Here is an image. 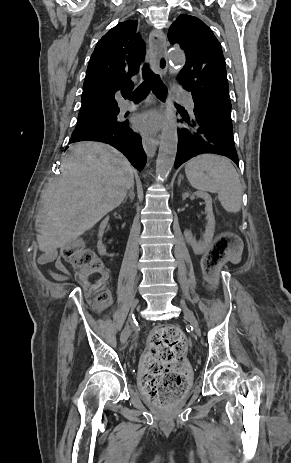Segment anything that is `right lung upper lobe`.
Masks as SVG:
<instances>
[{
	"label": "right lung upper lobe",
	"mask_w": 291,
	"mask_h": 463,
	"mask_svg": "<svg viewBox=\"0 0 291 463\" xmlns=\"http://www.w3.org/2000/svg\"><path fill=\"white\" fill-rule=\"evenodd\" d=\"M136 28V22H121L97 43L87 67L78 119L119 111L114 95L133 88L131 77L138 72L145 53Z\"/></svg>",
	"instance_id": "right-lung-upper-lobe-1"
}]
</instances>
